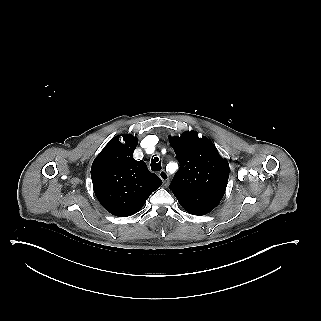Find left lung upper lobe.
<instances>
[{
	"label": "left lung upper lobe",
	"mask_w": 321,
	"mask_h": 321,
	"mask_svg": "<svg viewBox=\"0 0 321 321\" xmlns=\"http://www.w3.org/2000/svg\"><path fill=\"white\" fill-rule=\"evenodd\" d=\"M169 140L180 162L169 185L174 194L226 190L229 165L210 139L199 138L197 132L187 131Z\"/></svg>",
	"instance_id": "obj_1"
}]
</instances>
